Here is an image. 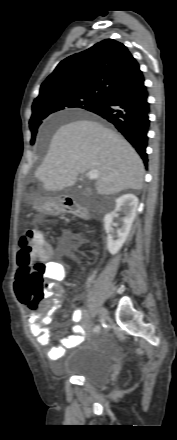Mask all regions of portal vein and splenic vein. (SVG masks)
I'll use <instances>...</instances> for the list:
<instances>
[{
    "label": "portal vein and splenic vein",
    "mask_w": 177,
    "mask_h": 440,
    "mask_svg": "<svg viewBox=\"0 0 177 440\" xmlns=\"http://www.w3.org/2000/svg\"><path fill=\"white\" fill-rule=\"evenodd\" d=\"M89 179H98V171L93 169L88 173Z\"/></svg>",
    "instance_id": "18ae733b"
}]
</instances>
